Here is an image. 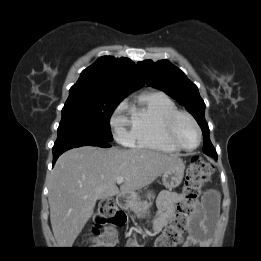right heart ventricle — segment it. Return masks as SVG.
Listing matches in <instances>:
<instances>
[{"instance_id": "right-heart-ventricle-1", "label": "right heart ventricle", "mask_w": 261, "mask_h": 261, "mask_svg": "<svg viewBox=\"0 0 261 261\" xmlns=\"http://www.w3.org/2000/svg\"><path fill=\"white\" fill-rule=\"evenodd\" d=\"M129 145L165 153L179 151L167 138L165 123L178 108L165 93L148 91L142 93L134 102L127 105Z\"/></svg>"}]
</instances>
